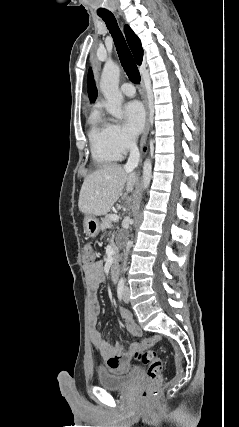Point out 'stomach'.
Wrapping results in <instances>:
<instances>
[{"label":"stomach","instance_id":"0dacf381","mask_svg":"<svg viewBox=\"0 0 239 427\" xmlns=\"http://www.w3.org/2000/svg\"><path fill=\"white\" fill-rule=\"evenodd\" d=\"M101 230V222L93 215H87L84 219V231L89 237H96Z\"/></svg>","mask_w":239,"mask_h":427}]
</instances>
